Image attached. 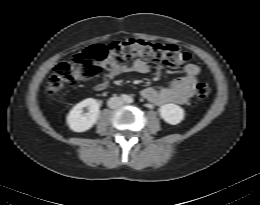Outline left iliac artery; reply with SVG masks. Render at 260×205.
I'll use <instances>...</instances> for the list:
<instances>
[{"instance_id": "obj_1", "label": "left iliac artery", "mask_w": 260, "mask_h": 205, "mask_svg": "<svg viewBox=\"0 0 260 205\" xmlns=\"http://www.w3.org/2000/svg\"><path fill=\"white\" fill-rule=\"evenodd\" d=\"M128 101L131 103V102H133V99H132V98H129V100H128Z\"/></svg>"}]
</instances>
